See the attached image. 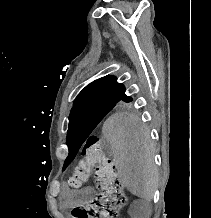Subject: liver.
I'll use <instances>...</instances> for the list:
<instances>
[{"label":"liver","mask_w":211,"mask_h":218,"mask_svg":"<svg viewBox=\"0 0 211 218\" xmlns=\"http://www.w3.org/2000/svg\"><path fill=\"white\" fill-rule=\"evenodd\" d=\"M102 134L113 152L118 176L127 190L145 200H152L158 184L154 166V144L149 130L133 112H118L103 124Z\"/></svg>","instance_id":"liver-1"}]
</instances>
